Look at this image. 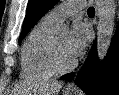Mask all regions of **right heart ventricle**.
<instances>
[{
	"label": "right heart ventricle",
	"mask_w": 119,
	"mask_h": 95,
	"mask_svg": "<svg viewBox=\"0 0 119 95\" xmlns=\"http://www.w3.org/2000/svg\"><path fill=\"white\" fill-rule=\"evenodd\" d=\"M55 22L43 17L30 31L21 50V74L26 79H48L55 73L48 50Z\"/></svg>",
	"instance_id": "1"
}]
</instances>
